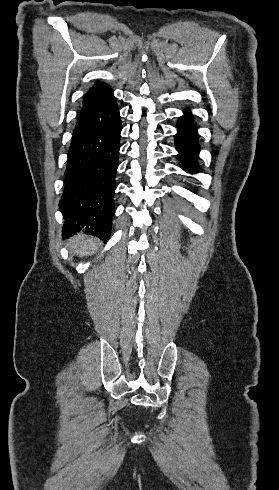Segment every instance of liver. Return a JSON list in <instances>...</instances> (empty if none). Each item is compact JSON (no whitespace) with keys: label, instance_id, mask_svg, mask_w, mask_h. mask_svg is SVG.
Returning <instances> with one entry per match:
<instances>
[{"label":"liver","instance_id":"1","mask_svg":"<svg viewBox=\"0 0 279 490\" xmlns=\"http://www.w3.org/2000/svg\"><path fill=\"white\" fill-rule=\"evenodd\" d=\"M101 244L102 242H100L98 238L80 234V236H74V238L69 240L68 248L69 250H73L79 258H84V256H92V254H95L98 246H101Z\"/></svg>","mask_w":279,"mask_h":490}]
</instances>
